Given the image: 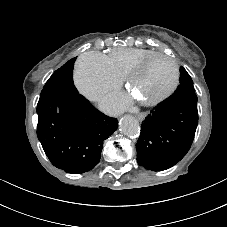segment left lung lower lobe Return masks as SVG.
Masks as SVG:
<instances>
[{"mask_svg": "<svg viewBox=\"0 0 227 227\" xmlns=\"http://www.w3.org/2000/svg\"><path fill=\"white\" fill-rule=\"evenodd\" d=\"M197 100L195 92L174 93L151 110L136 144L140 166L166 170L187 154L198 124Z\"/></svg>", "mask_w": 227, "mask_h": 227, "instance_id": "0a47b994", "label": "left lung lower lobe"}]
</instances>
